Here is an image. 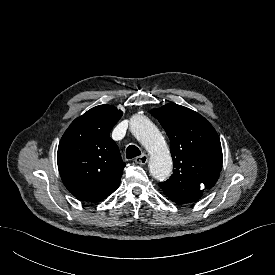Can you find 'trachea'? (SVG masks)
Listing matches in <instances>:
<instances>
[{
	"instance_id": "trachea-1",
	"label": "trachea",
	"mask_w": 275,
	"mask_h": 275,
	"mask_svg": "<svg viewBox=\"0 0 275 275\" xmlns=\"http://www.w3.org/2000/svg\"><path fill=\"white\" fill-rule=\"evenodd\" d=\"M139 155H141V151L139 150L138 147H136L135 145H130L127 147V149H126V158L127 159H132Z\"/></svg>"
}]
</instances>
